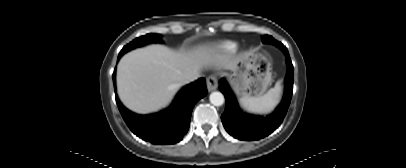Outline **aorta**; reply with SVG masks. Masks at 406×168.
<instances>
[{"instance_id": "obj_1", "label": "aorta", "mask_w": 406, "mask_h": 168, "mask_svg": "<svg viewBox=\"0 0 406 168\" xmlns=\"http://www.w3.org/2000/svg\"><path fill=\"white\" fill-rule=\"evenodd\" d=\"M209 100L214 106H221L223 105L225 98L221 92L215 91L210 94Z\"/></svg>"}]
</instances>
